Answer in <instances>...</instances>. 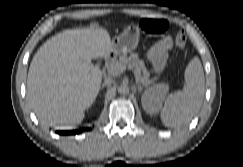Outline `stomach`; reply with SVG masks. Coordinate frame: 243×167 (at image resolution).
<instances>
[{"instance_id":"stomach-1","label":"stomach","mask_w":243,"mask_h":167,"mask_svg":"<svg viewBox=\"0 0 243 167\" xmlns=\"http://www.w3.org/2000/svg\"><path fill=\"white\" fill-rule=\"evenodd\" d=\"M139 27L135 24L128 25L124 31L112 41L114 55H122L136 49L139 42Z\"/></svg>"}]
</instances>
